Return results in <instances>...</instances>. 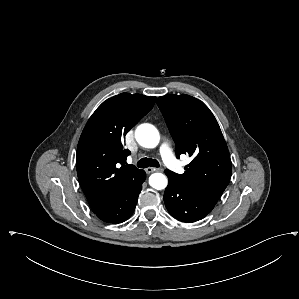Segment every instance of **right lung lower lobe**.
<instances>
[{
    "instance_id": "right-lung-lower-lobe-1",
    "label": "right lung lower lobe",
    "mask_w": 299,
    "mask_h": 299,
    "mask_svg": "<svg viewBox=\"0 0 299 299\" xmlns=\"http://www.w3.org/2000/svg\"><path fill=\"white\" fill-rule=\"evenodd\" d=\"M145 178L146 173L144 170H141L116 197L94 213L99 219L107 223L117 224L127 220L135 210Z\"/></svg>"
}]
</instances>
